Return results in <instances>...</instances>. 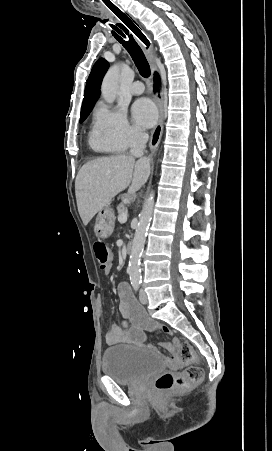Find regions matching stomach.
I'll return each instance as SVG.
<instances>
[{
  "instance_id": "stomach-1",
  "label": "stomach",
  "mask_w": 272,
  "mask_h": 451,
  "mask_svg": "<svg viewBox=\"0 0 272 451\" xmlns=\"http://www.w3.org/2000/svg\"><path fill=\"white\" fill-rule=\"evenodd\" d=\"M115 226V216L109 206H104L99 210L96 222L94 224V233L97 237H109Z\"/></svg>"
}]
</instances>
